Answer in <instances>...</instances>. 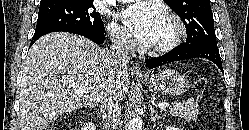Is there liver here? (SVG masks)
Masks as SVG:
<instances>
[{
  "instance_id": "1",
  "label": "liver",
  "mask_w": 249,
  "mask_h": 130,
  "mask_svg": "<svg viewBox=\"0 0 249 130\" xmlns=\"http://www.w3.org/2000/svg\"><path fill=\"white\" fill-rule=\"evenodd\" d=\"M129 83L128 69H116L108 51L94 42L66 32L47 34L32 45L23 65L18 128L45 130L62 114L93 107L109 92L122 100Z\"/></svg>"
}]
</instances>
